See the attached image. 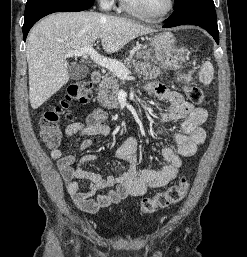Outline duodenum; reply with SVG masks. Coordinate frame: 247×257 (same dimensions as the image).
<instances>
[{"label": "duodenum", "instance_id": "410a0bca", "mask_svg": "<svg viewBox=\"0 0 247 257\" xmlns=\"http://www.w3.org/2000/svg\"><path fill=\"white\" fill-rule=\"evenodd\" d=\"M101 77H102V75H101L100 71L94 70V71L91 73V82H92L93 84H97L98 82H100Z\"/></svg>", "mask_w": 247, "mask_h": 257}]
</instances>
